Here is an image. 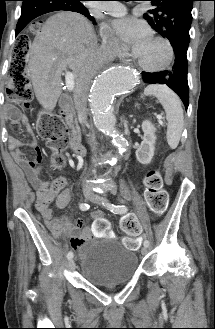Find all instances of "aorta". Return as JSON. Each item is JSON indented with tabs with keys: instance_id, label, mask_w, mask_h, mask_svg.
<instances>
[{
	"instance_id": "1",
	"label": "aorta",
	"mask_w": 215,
	"mask_h": 329,
	"mask_svg": "<svg viewBox=\"0 0 215 329\" xmlns=\"http://www.w3.org/2000/svg\"><path fill=\"white\" fill-rule=\"evenodd\" d=\"M138 82L137 73L130 67L114 65L106 68L94 80L89 101L96 128L113 137V142L124 152L127 142L116 128L113 102L120 92L132 90Z\"/></svg>"
}]
</instances>
